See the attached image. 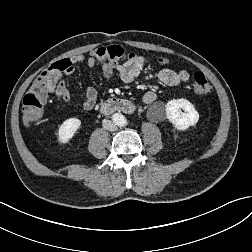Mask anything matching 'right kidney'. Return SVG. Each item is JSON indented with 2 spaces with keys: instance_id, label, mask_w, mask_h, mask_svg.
<instances>
[{
  "instance_id": "1",
  "label": "right kidney",
  "mask_w": 252,
  "mask_h": 252,
  "mask_svg": "<svg viewBox=\"0 0 252 252\" xmlns=\"http://www.w3.org/2000/svg\"><path fill=\"white\" fill-rule=\"evenodd\" d=\"M81 126V121L77 118H69L65 120L58 130V141L60 143H68Z\"/></svg>"
}]
</instances>
